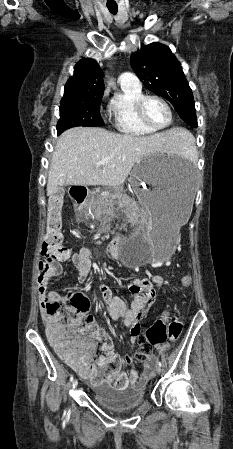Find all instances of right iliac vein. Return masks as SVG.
<instances>
[{
    "label": "right iliac vein",
    "instance_id": "obj_1",
    "mask_svg": "<svg viewBox=\"0 0 233 449\" xmlns=\"http://www.w3.org/2000/svg\"><path fill=\"white\" fill-rule=\"evenodd\" d=\"M72 386H73V388H76L78 386V381L77 380H73Z\"/></svg>",
    "mask_w": 233,
    "mask_h": 449
}]
</instances>
